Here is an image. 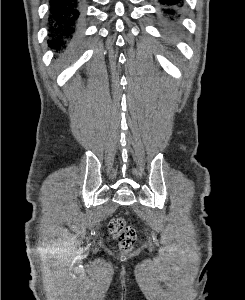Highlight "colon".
Returning a JSON list of instances; mask_svg holds the SVG:
<instances>
[{
    "mask_svg": "<svg viewBox=\"0 0 245 300\" xmlns=\"http://www.w3.org/2000/svg\"><path fill=\"white\" fill-rule=\"evenodd\" d=\"M112 237L117 241L120 249L129 251L133 248L137 235L133 227L129 226L123 217L113 218L108 226Z\"/></svg>",
    "mask_w": 245,
    "mask_h": 300,
    "instance_id": "obj_1",
    "label": "colon"
}]
</instances>
